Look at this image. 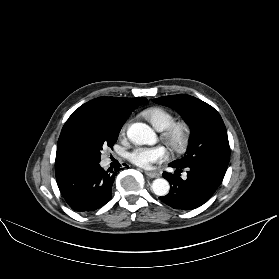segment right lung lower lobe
<instances>
[{"label":"right lung lower lobe","instance_id":"1","mask_svg":"<svg viewBox=\"0 0 279 279\" xmlns=\"http://www.w3.org/2000/svg\"><path fill=\"white\" fill-rule=\"evenodd\" d=\"M118 171V168L105 171L99 162L72 163L56 170V180L62 196L73 210L89 212L110 200Z\"/></svg>","mask_w":279,"mask_h":279}]
</instances>
